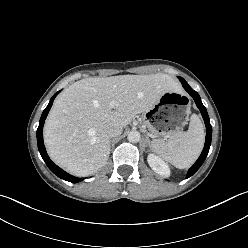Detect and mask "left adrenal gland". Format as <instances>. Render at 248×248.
<instances>
[{
    "label": "left adrenal gland",
    "mask_w": 248,
    "mask_h": 248,
    "mask_svg": "<svg viewBox=\"0 0 248 248\" xmlns=\"http://www.w3.org/2000/svg\"><path fill=\"white\" fill-rule=\"evenodd\" d=\"M146 142H147V144H148L149 147H150V140H149V137H148V136H146Z\"/></svg>",
    "instance_id": "obj_1"
}]
</instances>
